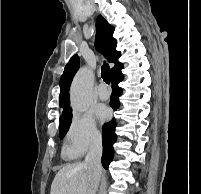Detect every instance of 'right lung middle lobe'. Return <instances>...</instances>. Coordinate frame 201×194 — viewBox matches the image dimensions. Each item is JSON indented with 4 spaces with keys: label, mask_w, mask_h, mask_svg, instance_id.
<instances>
[{
    "label": "right lung middle lobe",
    "mask_w": 201,
    "mask_h": 194,
    "mask_svg": "<svg viewBox=\"0 0 201 194\" xmlns=\"http://www.w3.org/2000/svg\"><path fill=\"white\" fill-rule=\"evenodd\" d=\"M72 115L60 119V130H59V137L62 139L65 134L67 133L70 124H71Z\"/></svg>",
    "instance_id": "dd1d6c3e"
}]
</instances>
